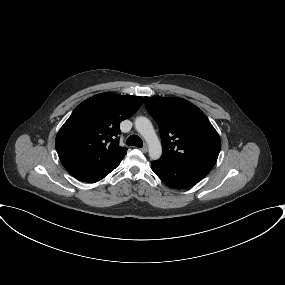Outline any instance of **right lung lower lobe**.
Here are the masks:
<instances>
[{
    "label": "right lung lower lobe",
    "instance_id": "right-lung-lower-lobe-1",
    "mask_svg": "<svg viewBox=\"0 0 285 285\" xmlns=\"http://www.w3.org/2000/svg\"><path fill=\"white\" fill-rule=\"evenodd\" d=\"M107 175V174H106ZM106 175H101V176H97V177H91V178H84L80 175H72L74 176L76 179L84 181V182H89V183H94L97 182L99 180H101L102 178H104Z\"/></svg>",
    "mask_w": 285,
    "mask_h": 285
}]
</instances>
